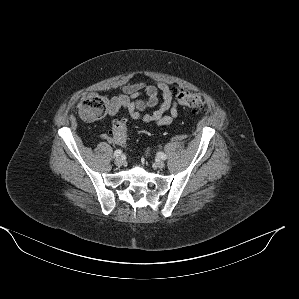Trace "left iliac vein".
<instances>
[{
    "mask_svg": "<svg viewBox=\"0 0 299 299\" xmlns=\"http://www.w3.org/2000/svg\"><path fill=\"white\" fill-rule=\"evenodd\" d=\"M155 166L157 167V168H164L165 167V163L162 161V160H157L156 162H155Z\"/></svg>",
    "mask_w": 299,
    "mask_h": 299,
    "instance_id": "obj_1",
    "label": "left iliac vein"
}]
</instances>
